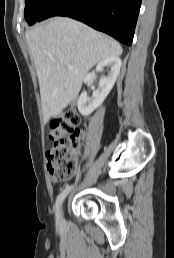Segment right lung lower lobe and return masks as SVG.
<instances>
[{
    "label": "right lung lower lobe",
    "mask_w": 174,
    "mask_h": 258,
    "mask_svg": "<svg viewBox=\"0 0 174 258\" xmlns=\"http://www.w3.org/2000/svg\"><path fill=\"white\" fill-rule=\"evenodd\" d=\"M141 0H53L43 19L68 16L131 45Z\"/></svg>",
    "instance_id": "1"
}]
</instances>
